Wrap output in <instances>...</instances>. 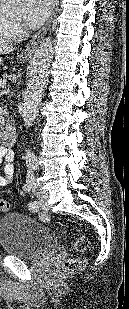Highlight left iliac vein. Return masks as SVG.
Here are the masks:
<instances>
[{
    "instance_id": "left-iliac-vein-1",
    "label": "left iliac vein",
    "mask_w": 129,
    "mask_h": 309,
    "mask_svg": "<svg viewBox=\"0 0 129 309\" xmlns=\"http://www.w3.org/2000/svg\"><path fill=\"white\" fill-rule=\"evenodd\" d=\"M32 191L38 199V201H37L38 209H43L45 211H48L49 206L46 204V200L48 198V193L46 191L42 190L38 186L36 180H34L33 183H32Z\"/></svg>"
}]
</instances>
